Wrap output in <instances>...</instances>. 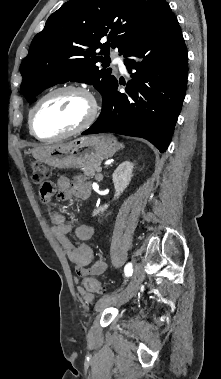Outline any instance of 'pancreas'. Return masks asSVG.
Segmentation results:
<instances>
[{
    "label": "pancreas",
    "mask_w": 221,
    "mask_h": 379,
    "mask_svg": "<svg viewBox=\"0 0 221 379\" xmlns=\"http://www.w3.org/2000/svg\"><path fill=\"white\" fill-rule=\"evenodd\" d=\"M98 168H99V164L85 166L83 168L84 175L88 177H93L95 175V172L98 170Z\"/></svg>",
    "instance_id": "pancreas-1"
}]
</instances>
